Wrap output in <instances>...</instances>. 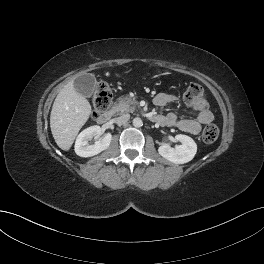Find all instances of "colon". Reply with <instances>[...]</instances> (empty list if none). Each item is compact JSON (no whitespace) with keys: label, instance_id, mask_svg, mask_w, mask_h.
Masks as SVG:
<instances>
[{"label":"colon","instance_id":"5ec220e1","mask_svg":"<svg viewBox=\"0 0 264 264\" xmlns=\"http://www.w3.org/2000/svg\"><path fill=\"white\" fill-rule=\"evenodd\" d=\"M112 99L113 94L109 86L104 82H100L95 90L93 98L94 117H97L101 112L106 110L110 106ZM183 100L187 105L198 111H204L208 106L204 90L198 84H191L187 87L183 94ZM218 136L219 129L214 124L207 125L202 132V139L206 143L216 141Z\"/></svg>","mask_w":264,"mask_h":264}]
</instances>
